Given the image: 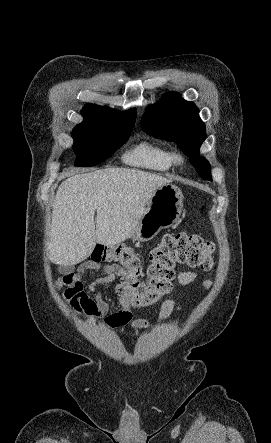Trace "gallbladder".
<instances>
[{
  "label": "gallbladder",
  "mask_w": 271,
  "mask_h": 443,
  "mask_svg": "<svg viewBox=\"0 0 271 443\" xmlns=\"http://www.w3.org/2000/svg\"><path fill=\"white\" fill-rule=\"evenodd\" d=\"M75 263L72 260L67 261L66 265H59L58 271L59 273H70L74 268Z\"/></svg>",
  "instance_id": "obj_1"
}]
</instances>
